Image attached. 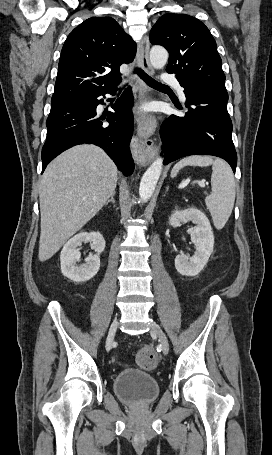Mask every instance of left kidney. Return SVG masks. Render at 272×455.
Instances as JSON below:
<instances>
[{
	"label": "left kidney",
	"instance_id": "left-kidney-1",
	"mask_svg": "<svg viewBox=\"0 0 272 455\" xmlns=\"http://www.w3.org/2000/svg\"><path fill=\"white\" fill-rule=\"evenodd\" d=\"M189 221L196 224L190 229L191 241L196 251L190 258L184 254L177 255L175 268L181 275L196 276L203 270L213 252L214 235L207 216L197 208L175 210L169 218V224L173 227Z\"/></svg>",
	"mask_w": 272,
	"mask_h": 455
}]
</instances>
